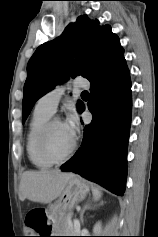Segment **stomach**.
Wrapping results in <instances>:
<instances>
[{
	"label": "stomach",
	"instance_id": "0dacf381",
	"mask_svg": "<svg viewBox=\"0 0 158 237\" xmlns=\"http://www.w3.org/2000/svg\"><path fill=\"white\" fill-rule=\"evenodd\" d=\"M88 193L89 186L86 182L76 176L73 177L59 198L49 205L48 216L58 222L62 217L67 216L79 202L84 200Z\"/></svg>",
	"mask_w": 158,
	"mask_h": 237
}]
</instances>
